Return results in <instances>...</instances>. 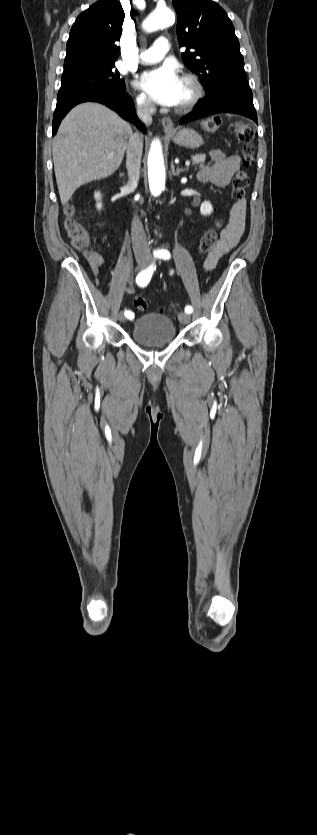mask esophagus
Listing matches in <instances>:
<instances>
[{
	"instance_id": "obj_1",
	"label": "esophagus",
	"mask_w": 317,
	"mask_h": 835,
	"mask_svg": "<svg viewBox=\"0 0 317 835\" xmlns=\"http://www.w3.org/2000/svg\"><path fill=\"white\" fill-rule=\"evenodd\" d=\"M161 122H162V125H163V128H164V131L166 133H170V132L174 131V124H173L170 117H163Z\"/></svg>"
}]
</instances>
